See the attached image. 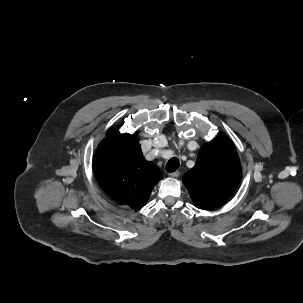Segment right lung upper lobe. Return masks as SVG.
<instances>
[{
    "label": "right lung upper lobe",
    "mask_w": 303,
    "mask_h": 303,
    "mask_svg": "<svg viewBox=\"0 0 303 303\" xmlns=\"http://www.w3.org/2000/svg\"><path fill=\"white\" fill-rule=\"evenodd\" d=\"M94 170L101 188L119 204L144 206L162 179L159 168L143 157L138 138L128 133L104 139L95 155Z\"/></svg>",
    "instance_id": "cb5924a9"
}]
</instances>
